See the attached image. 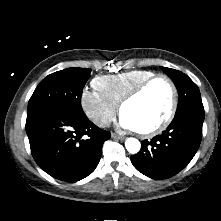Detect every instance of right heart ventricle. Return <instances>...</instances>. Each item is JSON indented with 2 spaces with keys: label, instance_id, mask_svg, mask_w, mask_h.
Wrapping results in <instances>:
<instances>
[{
  "label": "right heart ventricle",
  "instance_id": "obj_1",
  "mask_svg": "<svg viewBox=\"0 0 221 221\" xmlns=\"http://www.w3.org/2000/svg\"><path fill=\"white\" fill-rule=\"evenodd\" d=\"M153 75L155 74L152 71L137 69L96 77L92 85L95 90L118 105L129 91Z\"/></svg>",
  "mask_w": 221,
  "mask_h": 221
}]
</instances>
